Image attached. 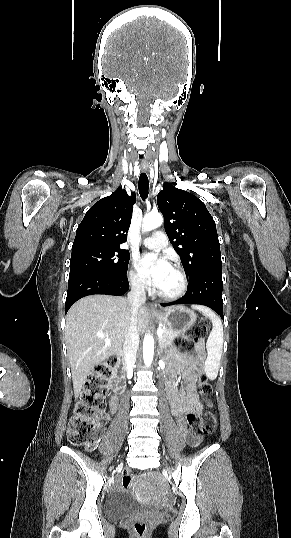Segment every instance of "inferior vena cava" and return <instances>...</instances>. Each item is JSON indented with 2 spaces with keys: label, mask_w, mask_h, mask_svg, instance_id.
<instances>
[{
  "label": "inferior vena cava",
  "mask_w": 291,
  "mask_h": 538,
  "mask_svg": "<svg viewBox=\"0 0 291 538\" xmlns=\"http://www.w3.org/2000/svg\"><path fill=\"white\" fill-rule=\"evenodd\" d=\"M128 300L131 305V318L123 345L125 367L128 372L133 371L136 362V354L139 346V334L137 331V312L146 302V292L142 280H134L131 291L128 293Z\"/></svg>",
  "instance_id": "602c4592"
}]
</instances>
